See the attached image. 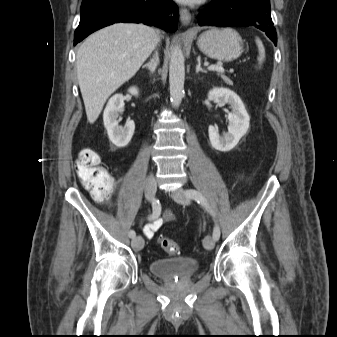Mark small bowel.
I'll return each instance as SVG.
<instances>
[{
    "instance_id": "1",
    "label": "small bowel",
    "mask_w": 337,
    "mask_h": 337,
    "mask_svg": "<svg viewBox=\"0 0 337 337\" xmlns=\"http://www.w3.org/2000/svg\"><path fill=\"white\" fill-rule=\"evenodd\" d=\"M173 214L170 211L164 212L160 217L155 218L151 223L143 227V233L146 238L151 239L157 230L164 224L173 220Z\"/></svg>"
}]
</instances>
